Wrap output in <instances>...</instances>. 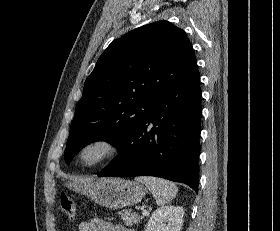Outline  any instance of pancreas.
Instances as JSON below:
<instances>
[{
  "mask_svg": "<svg viewBox=\"0 0 280 231\" xmlns=\"http://www.w3.org/2000/svg\"><path fill=\"white\" fill-rule=\"evenodd\" d=\"M119 213H121L125 225H133V223H139L140 219L144 217V215H138V213H130L128 209H123V211H119Z\"/></svg>",
  "mask_w": 280,
  "mask_h": 231,
  "instance_id": "obj_1",
  "label": "pancreas"
}]
</instances>
